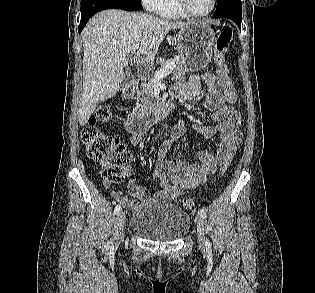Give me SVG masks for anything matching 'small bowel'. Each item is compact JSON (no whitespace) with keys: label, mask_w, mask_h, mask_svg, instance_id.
<instances>
[{"label":"small bowel","mask_w":315,"mask_h":293,"mask_svg":"<svg viewBox=\"0 0 315 293\" xmlns=\"http://www.w3.org/2000/svg\"><path fill=\"white\" fill-rule=\"evenodd\" d=\"M203 83L209 90L202 100V105L209 111L210 119L217 124L215 126L195 125L193 128L200 136L207 139L219 134L221 143L218 149L215 152L200 150L196 159H168L167 154L170 148L188 128L185 121H180L158 151V160L152 177L159 182L160 190L149 198V190L138 186L141 190L131 192L137 202L125 197L118 190L111 191V195L125 208L139 212L150 202L175 201L185 191L205 182L207 176L214 173L223 163H230L232 160L242 142L241 118L233 106L237 100V92L235 94L227 92L224 80L217 75L202 73L192 75L187 82L178 83L175 86V93L184 100L192 101L200 96ZM142 139V133H133L130 137L133 145L139 144Z\"/></svg>","instance_id":"obj_1"}]
</instances>
